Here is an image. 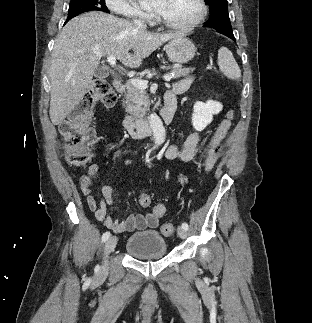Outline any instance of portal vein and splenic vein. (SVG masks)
Masks as SVG:
<instances>
[{"instance_id": "18ae733b", "label": "portal vein and splenic vein", "mask_w": 312, "mask_h": 323, "mask_svg": "<svg viewBox=\"0 0 312 323\" xmlns=\"http://www.w3.org/2000/svg\"><path fill=\"white\" fill-rule=\"evenodd\" d=\"M97 56H101V54H97ZM102 58V56H101ZM110 66H116V58L115 56H108L107 58ZM173 76V74H172ZM165 82H170L171 80V76H163ZM131 84H133V86H136V88H139V90H146L147 86H148V82L147 80H130Z\"/></svg>"}]
</instances>
